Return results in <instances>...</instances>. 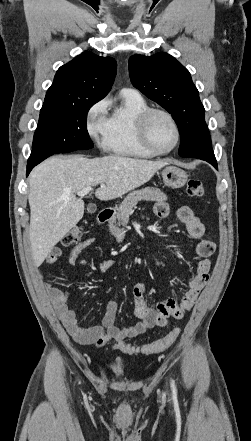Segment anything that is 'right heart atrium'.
Wrapping results in <instances>:
<instances>
[{"mask_svg": "<svg viewBox=\"0 0 251 441\" xmlns=\"http://www.w3.org/2000/svg\"><path fill=\"white\" fill-rule=\"evenodd\" d=\"M107 109L108 101L102 99L92 105L86 115V130L89 136L103 147L108 122Z\"/></svg>", "mask_w": 251, "mask_h": 441, "instance_id": "obj_1", "label": "right heart atrium"}]
</instances>
